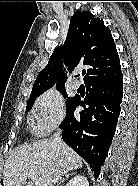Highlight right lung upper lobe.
Instances as JSON below:
<instances>
[{
    "mask_svg": "<svg viewBox=\"0 0 138 186\" xmlns=\"http://www.w3.org/2000/svg\"><path fill=\"white\" fill-rule=\"evenodd\" d=\"M63 62L69 72L78 65H84L85 83L109 80L122 74L110 29L90 11L74 13L64 46L54 50L47 66L38 74L31 94L44 92L55 84L56 88L63 87L67 80Z\"/></svg>",
    "mask_w": 138,
    "mask_h": 186,
    "instance_id": "obj_1",
    "label": "right lung upper lobe"
}]
</instances>
